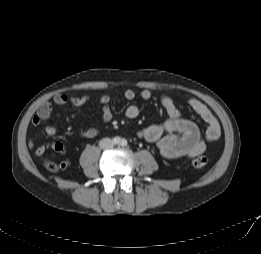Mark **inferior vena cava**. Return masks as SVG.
<instances>
[{
  "label": "inferior vena cava",
  "instance_id": "1",
  "mask_svg": "<svg viewBox=\"0 0 261 254\" xmlns=\"http://www.w3.org/2000/svg\"><path fill=\"white\" fill-rule=\"evenodd\" d=\"M99 146L103 150L111 149L114 146V142L110 138H103L99 142Z\"/></svg>",
  "mask_w": 261,
  "mask_h": 254
}]
</instances>
